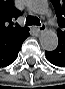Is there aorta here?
Listing matches in <instances>:
<instances>
[{
    "label": "aorta",
    "instance_id": "obj_1",
    "mask_svg": "<svg viewBox=\"0 0 65 89\" xmlns=\"http://www.w3.org/2000/svg\"><path fill=\"white\" fill-rule=\"evenodd\" d=\"M29 8L36 14L47 15L49 4L46 0H34L29 4ZM41 47L46 51H54L58 46V36L54 30H45L40 37Z\"/></svg>",
    "mask_w": 65,
    "mask_h": 89
}]
</instances>
